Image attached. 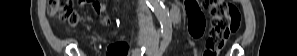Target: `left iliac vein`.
Segmentation results:
<instances>
[{"label":"left iliac vein","instance_id":"4c4485c4","mask_svg":"<svg viewBox=\"0 0 297 56\" xmlns=\"http://www.w3.org/2000/svg\"><path fill=\"white\" fill-rule=\"evenodd\" d=\"M157 45L156 43L150 42L148 43L147 55L152 56L156 53Z\"/></svg>","mask_w":297,"mask_h":56}]
</instances>
